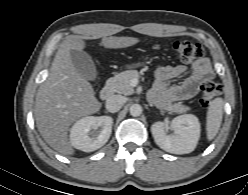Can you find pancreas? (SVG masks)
Wrapping results in <instances>:
<instances>
[{
  "label": "pancreas",
  "mask_w": 248,
  "mask_h": 195,
  "mask_svg": "<svg viewBox=\"0 0 248 195\" xmlns=\"http://www.w3.org/2000/svg\"><path fill=\"white\" fill-rule=\"evenodd\" d=\"M134 78H139L137 70L123 71L108 80V87L113 92L123 95H131L134 92L131 80ZM167 110L169 113H184L188 110V107L179 102L169 106Z\"/></svg>",
  "instance_id": "obj_1"
}]
</instances>
